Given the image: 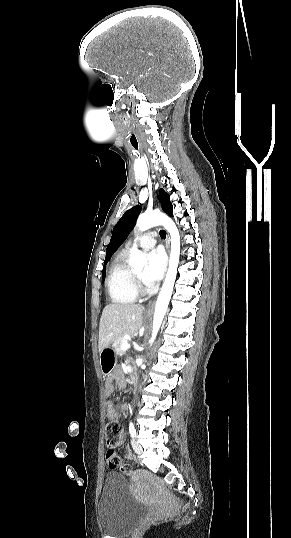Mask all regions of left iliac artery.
Instances as JSON below:
<instances>
[{
  "instance_id": "obj_1",
  "label": "left iliac artery",
  "mask_w": 291,
  "mask_h": 538,
  "mask_svg": "<svg viewBox=\"0 0 291 538\" xmlns=\"http://www.w3.org/2000/svg\"><path fill=\"white\" fill-rule=\"evenodd\" d=\"M129 433L132 438L136 435V430L132 422L129 423Z\"/></svg>"
}]
</instances>
